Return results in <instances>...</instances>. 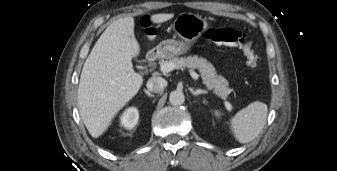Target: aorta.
Listing matches in <instances>:
<instances>
[{
    "instance_id": "obj_1",
    "label": "aorta",
    "mask_w": 337,
    "mask_h": 171,
    "mask_svg": "<svg viewBox=\"0 0 337 171\" xmlns=\"http://www.w3.org/2000/svg\"><path fill=\"white\" fill-rule=\"evenodd\" d=\"M169 101L174 106L182 105L185 101V96L182 91L175 90L170 93Z\"/></svg>"
}]
</instances>
